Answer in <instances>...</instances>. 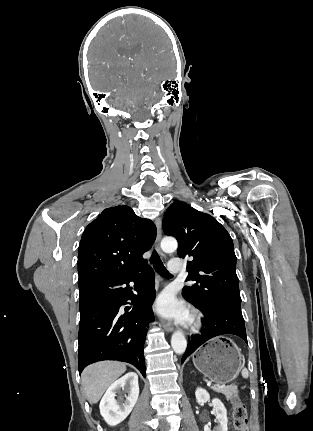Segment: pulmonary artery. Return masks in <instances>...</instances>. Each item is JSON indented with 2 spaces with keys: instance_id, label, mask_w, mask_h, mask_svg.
<instances>
[{
  "instance_id": "1",
  "label": "pulmonary artery",
  "mask_w": 313,
  "mask_h": 431,
  "mask_svg": "<svg viewBox=\"0 0 313 431\" xmlns=\"http://www.w3.org/2000/svg\"><path fill=\"white\" fill-rule=\"evenodd\" d=\"M168 269L171 273H179L181 270V262L179 259H171L168 263Z\"/></svg>"
}]
</instances>
